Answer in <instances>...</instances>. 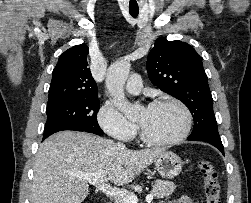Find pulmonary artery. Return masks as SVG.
Here are the masks:
<instances>
[{
  "label": "pulmonary artery",
  "instance_id": "pulmonary-artery-1",
  "mask_svg": "<svg viewBox=\"0 0 251 203\" xmlns=\"http://www.w3.org/2000/svg\"><path fill=\"white\" fill-rule=\"evenodd\" d=\"M126 90L131 94H138L142 89V79L139 75H132L127 83Z\"/></svg>",
  "mask_w": 251,
  "mask_h": 203
}]
</instances>
